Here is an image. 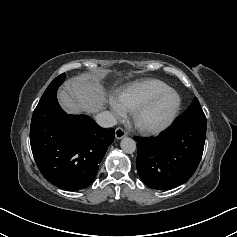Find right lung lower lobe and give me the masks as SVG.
<instances>
[{
	"label": "right lung lower lobe",
	"instance_id": "obj_1",
	"mask_svg": "<svg viewBox=\"0 0 237 237\" xmlns=\"http://www.w3.org/2000/svg\"><path fill=\"white\" fill-rule=\"evenodd\" d=\"M64 78L62 74L50 83L35 108L30 143L42 175L59 188L76 191L94 180L98 164L114 140V130L61 109L56 93Z\"/></svg>",
	"mask_w": 237,
	"mask_h": 237
}]
</instances>
